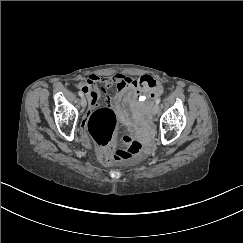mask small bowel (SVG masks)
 Wrapping results in <instances>:
<instances>
[{
	"instance_id": "1",
	"label": "small bowel",
	"mask_w": 243,
	"mask_h": 243,
	"mask_svg": "<svg viewBox=\"0 0 243 243\" xmlns=\"http://www.w3.org/2000/svg\"><path fill=\"white\" fill-rule=\"evenodd\" d=\"M113 84L117 85V91L109 99V105L118 119L129 126L133 125L134 120L141 117L146 104L154 101L163 92L162 86L149 75H143L139 79L124 74H115L111 77L90 75L79 84V88L89 99L90 110L97 107L103 88H109ZM127 108L131 110L132 117Z\"/></svg>"
}]
</instances>
